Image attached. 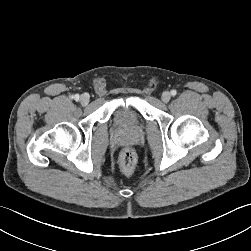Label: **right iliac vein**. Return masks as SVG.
<instances>
[{"instance_id":"63e3f726","label":"right iliac vein","mask_w":251,"mask_h":251,"mask_svg":"<svg viewBox=\"0 0 251 251\" xmlns=\"http://www.w3.org/2000/svg\"><path fill=\"white\" fill-rule=\"evenodd\" d=\"M89 100H90V96L89 94L87 93H84L80 96V103L83 105V106H86L88 103H89Z\"/></svg>"}]
</instances>
